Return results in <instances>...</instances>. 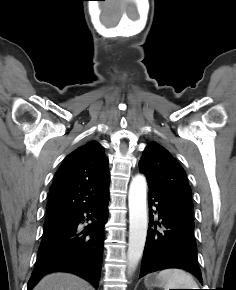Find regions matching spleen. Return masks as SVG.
<instances>
[{"label": "spleen", "mask_w": 236, "mask_h": 290, "mask_svg": "<svg viewBox=\"0 0 236 290\" xmlns=\"http://www.w3.org/2000/svg\"><path fill=\"white\" fill-rule=\"evenodd\" d=\"M164 285V290L169 289H197L198 285L192 275L182 269H164L157 275Z\"/></svg>", "instance_id": "obj_1"}]
</instances>
